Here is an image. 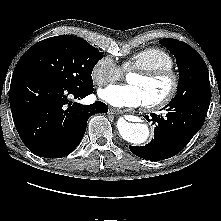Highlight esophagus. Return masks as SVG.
<instances>
[{"instance_id":"34e87169","label":"esophagus","mask_w":221,"mask_h":221,"mask_svg":"<svg viewBox=\"0 0 221 221\" xmlns=\"http://www.w3.org/2000/svg\"><path fill=\"white\" fill-rule=\"evenodd\" d=\"M109 113H110V114H123L124 111H123V110L116 109V108H110V109H109Z\"/></svg>"}]
</instances>
